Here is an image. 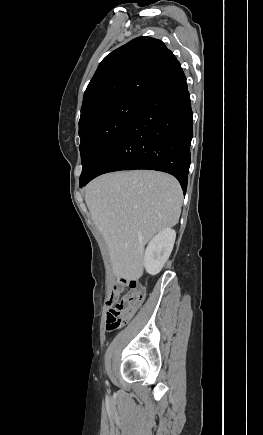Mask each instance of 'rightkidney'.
<instances>
[{
    "instance_id": "1",
    "label": "right kidney",
    "mask_w": 263,
    "mask_h": 435,
    "mask_svg": "<svg viewBox=\"0 0 263 435\" xmlns=\"http://www.w3.org/2000/svg\"><path fill=\"white\" fill-rule=\"evenodd\" d=\"M175 238V230L164 228L149 242L143 259V265L149 274L155 275L161 271L172 252Z\"/></svg>"
}]
</instances>
